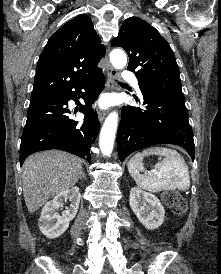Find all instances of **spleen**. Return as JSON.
Wrapping results in <instances>:
<instances>
[{
  "label": "spleen",
  "mask_w": 221,
  "mask_h": 274,
  "mask_svg": "<svg viewBox=\"0 0 221 274\" xmlns=\"http://www.w3.org/2000/svg\"><path fill=\"white\" fill-rule=\"evenodd\" d=\"M149 155L160 156V161L151 171L146 172L143 158ZM163 157V159H162ZM128 171L138 187L152 192L178 189L186 191L190 187L188 166L183 157L175 150L152 147L136 153L128 162ZM144 172V174H140Z\"/></svg>",
  "instance_id": "spleen-1"
}]
</instances>
